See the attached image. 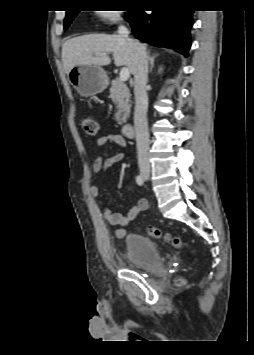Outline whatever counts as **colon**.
Listing matches in <instances>:
<instances>
[{
  "label": "colon",
  "instance_id": "obj_1",
  "mask_svg": "<svg viewBox=\"0 0 254 355\" xmlns=\"http://www.w3.org/2000/svg\"><path fill=\"white\" fill-rule=\"evenodd\" d=\"M82 127H83L84 132L90 136H95L98 132V124L92 118L83 119ZM148 233L151 236L161 239L164 242L170 244L171 246H173L175 248H186V249L190 250L191 252H193V248L191 247V245L178 236H174V235H171L170 233L163 232L156 227H149ZM182 283H183V281H180V284H182Z\"/></svg>",
  "mask_w": 254,
  "mask_h": 355
}]
</instances>
